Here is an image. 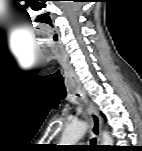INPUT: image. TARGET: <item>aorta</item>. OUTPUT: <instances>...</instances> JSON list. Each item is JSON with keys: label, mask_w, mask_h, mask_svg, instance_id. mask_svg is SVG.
<instances>
[{"label": "aorta", "mask_w": 142, "mask_h": 151, "mask_svg": "<svg viewBox=\"0 0 142 151\" xmlns=\"http://www.w3.org/2000/svg\"><path fill=\"white\" fill-rule=\"evenodd\" d=\"M88 125L86 122L77 121L68 125L61 137V145H75L86 133ZM103 145H113V139L109 132H103Z\"/></svg>", "instance_id": "aorta-1"}]
</instances>
